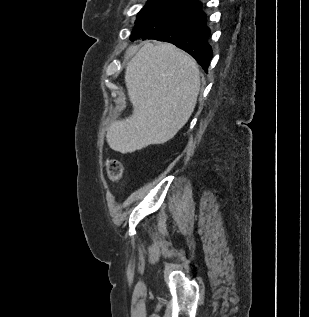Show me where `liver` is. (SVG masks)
I'll use <instances>...</instances> for the list:
<instances>
[{"label": "liver", "mask_w": 309, "mask_h": 317, "mask_svg": "<svg viewBox=\"0 0 309 317\" xmlns=\"http://www.w3.org/2000/svg\"><path fill=\"white\" fill-rule=\"evenodd\" d=\"M130 117L107 130L110 148L125 153L164 144L187 123L200 90L195 60L170 43H145L128 63Z\"/></svg>", "instance_id": "liver-1"}]
</instances>
